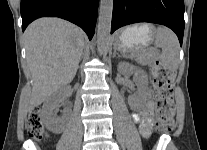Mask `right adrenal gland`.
I'll return each instance as SVG.
<instances>
[{
  "label": "right adrenal gland",
  "instance_id": "right-adrenal-gland-1",
  "mask_svg": "<svg viewBox=\"0 0 207 150\" xmlns=\"http://www.w3.org/2000/svg\"><path fill=\"white\" fill-rule=\"evenodd\" d=\"M84 56V52H82V55H81V58H80V60H82V57Z\"/></svg>",
  "mask_w": 207,
  "mask_h": 150
}]
</instances>
